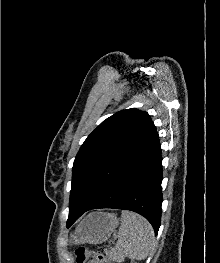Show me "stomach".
<instances>
[{
    "mask_svg": "<svg viewBox=\"0 0 220 263\" xmlns=\"http://www.w3.org/2000/svg\"><path fill=\"white\" fill-rule=\"evenodd\" d=\"M115 214L92 212L85 216L72 234L74 244H101L106 241L118 226Z\"/></svg>",
    "mask_w": 220,
    "mask_h": 263,
    "instance_id": "1",
    "label": "stomach"
}]
</instances>
